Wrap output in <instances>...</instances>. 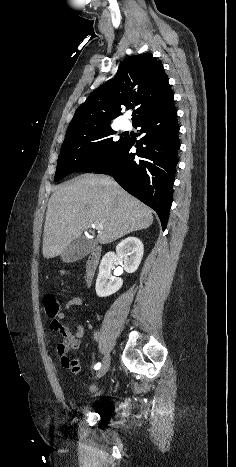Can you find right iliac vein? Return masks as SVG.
Instances as JSON below:
<instances>
[{
	"mask_svg": "<svg viewBox=\"0 0 236 467\" xmlns=\"http://www.w3.org/2000/svg\"><path fill=\"white\" fill-rule=\"evenodd\" d=\"M109 367H110V357L106 356L105 359L103 360V363H102L100 369L98 370V372L96 374V377L97 378L103 377L107 373V371L109 370Z\"/></svg>",
	"mask_w": 236,
	"mask_h": 467,
	"instance_id": "1",
	"label": "right iliac vein"
}]
</instances>
